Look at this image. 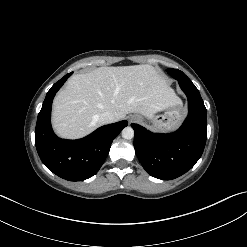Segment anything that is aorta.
<instances>
[{"instance_id": "aorta-1", "label": "aorta", "mask_w": 247, "mask_h": 247, "mask_svg": "<svg viewBox=\"0 0 247 247\" xmlns=\"http://www.w3.org/2000/svg\"><path fill=\"white\" fill-rule=\"evenodd\" d=\"M122 137L124 139H132L134 137V130L132 127H125L123 130H122Z\"/></svg>"}]
</instances>
